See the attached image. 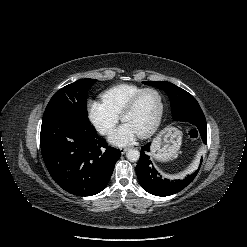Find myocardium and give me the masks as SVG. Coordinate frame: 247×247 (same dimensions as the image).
<instances>
[{"instance_id": "f54148a6", "label": "myocardium", "mask_w": 247, "mask_h": 247, "mask_svg": "<svg viewBox=\"0 0 247 247\" xmlns=\"http://www.w3.org/2000/svg\"><path fill=\"white\" fill-rule=\"evenodd\" d=\"M154 93L157 95L158 99H159V103H160V110H159V114L158 117L156 119V121L154 122V124L145 132L139 134L140 138H148L150 137L152 134H154L158 128L160 127L163 117H164V113H165V102H164V97L163 95L155 88H144L141 91H139L136 95L133 96V98L127 103V105L124 107L123 111L121 112V120L124 121V118L127 114H129L130 112H132L135 107L137 106L139 100L141 99V97L145 94V93Z\"/></svg>"}]
</instances>
